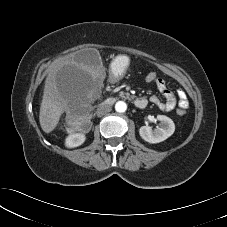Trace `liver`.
Wrapping results in <instances>:
<instances>
[{"instance_id": "liver-1", "label": "liver", "mask_w": 227, "mask_h": 227, "mask_svg": "<svg viewBox=\"0 0 227 227\" xmlns=\"http://www.w3.org/2000/svg\"><path fill=\"white\" fill-rule=\"evenodd\" d=\"M95 76V71L75 61V55L59 58L52 64L45 80L39 112V122L44 132L50 133L55 129L62 113L80 95L82 83Z\"/></svg>"}]
</instances>
